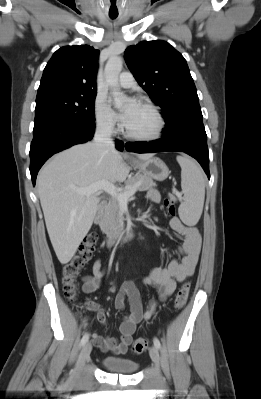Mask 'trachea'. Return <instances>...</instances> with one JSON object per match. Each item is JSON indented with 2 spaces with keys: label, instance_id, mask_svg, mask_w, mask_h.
Wrapping results in <instances>:
<instances>
[{
  "label": "trachea",
  "instance_id": "obj_1",
  "mask_svg": "<svg viewBox=\"0 0 261 399\" xmlns=\"http://www.w3.org/2000/svg\"><path fill=\"white\" fill-rule=\"evenodd\" d=\"M112 4H115V2H112ZM111 19H115L117 15H109Z\"/></svg>",
  "mask_w": 261,
  "mask_h": 399
}]
</instances>
